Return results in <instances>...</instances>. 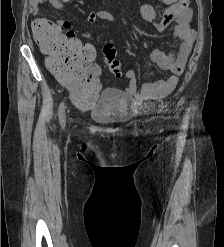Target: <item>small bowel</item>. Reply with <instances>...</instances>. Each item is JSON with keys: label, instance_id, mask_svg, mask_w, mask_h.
I'll list each match as a JSON object with an SVG mask.
<instances>
[{"label": "small bowel", "instance_id": "1", "mask_svg": "<svg viewBox=\"0 0 224 247\" xmlns=\"http://www.w3.org/2000/svg\"><path fill=\"white\" fill-rule=\"evenodd\" d=\"M68 1L69 0H31L33 14L39 15L40 7L45 3H49L56 10H62L64 3ZM161 1L168 5L162 17L159 18L155 9L149 4H144L140 7L139 15L143 20L152 24L158 31H163L168 26L173 25L172 34L180 40V43L175 51L168 54L159 49H153L149 53L151 61L158 64L162 69L170 71V75L166 79L154 83H146L138 90L135 72L133 70L126 71L125 77L128 82L126 91L131 97L138 101L160 99L174 90L195 41V32L190 27L192 11L188 6V0ZM97 19L107 20L113 24L117 23L115 17L106 11H93L87 17L89 23H94ZM55 25L66 30L65 35L67 38L79 41L71 28L70 21L61 18Z\"/></svg>", "mask_w": 224, "mask_h": 247}]
</instances>
